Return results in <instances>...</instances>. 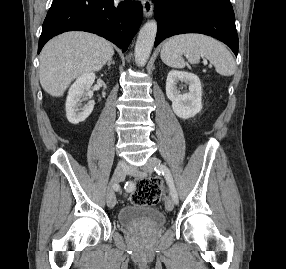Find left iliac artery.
I'll return each mask as SVG.
<instances>
[{"label": "left iliac artery", "instance_id": "1", "mask_svg": "<svg viewBox=\"0 0 286 269\" xmlns=\"http://www.w3.org/2000/svg\"><path fill=\"white\" fill-rule=\"evenodd\" d=\"M154 170L157 173H162L165 176V179L170 189V194L172 196V199L174 200L175 204H178V195L170 170L164 165L155 166Z\"/></svg>", "mask_w": 286, "mask_h": 269}]
</instances>
